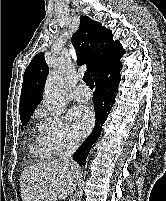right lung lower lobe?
Segmentation results:
<instances>
[{
  "label": "right lung lower lobe",
  "mask_w": 166,
  "mask_h": 201,
  "mask_svg": "<svg viewBox=\"0 0 166 201\" xmlns=\"http://www.w3.org/2000/svg\"><path fill=\"white\" fill-rule=\"evenodd\" d=\"M121 68L122 64L111 65L101 72V74L94 80L96 90L94 92L93 101L96 114V124L92 133L73 155V159L80 165H85L84 161L86 156L93 143L100 136L102 125L106 121L113 106L118 91V84L121 79Z\"/></svg>",
  "instance_id": "right-lung-lower-lobe-1"
}]
</instances>
